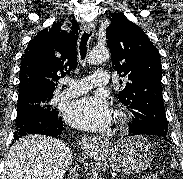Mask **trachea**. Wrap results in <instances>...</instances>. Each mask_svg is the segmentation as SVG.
I'll list each match as a JSON object with an SVG mask.
<instances>
[{"label": "trachea", "instance_id": "obj_1", "mask_svg": "<svg viewBox=\"0 0 183 179\" xmlns=\"http://www.w3.org/2000/svg\"><path fill=\"white\" fill-rule=\"evenodd\" d=\"M89 36L90 34H87L86 32H84L80 41L79 49H80V56L82 60H84L86 56L87 42H88Z\"/></svg>", "mask_w": 183, "mask_h": 179}]
</instances>
